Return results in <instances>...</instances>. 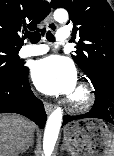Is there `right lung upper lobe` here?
<instances>
[{
  "label": "right lung upper lobe",
  "instance_id": "obj_1",
  "mask_svg": "<svg viewBox=\"0 0 114 156\" xmlns=\"http://www.w3.org/2000/svg\"><path fill=\"white\" fill-rule=\"evenodd\" d=\"M49 12L42 0H0V49L19 50L23 30H35Z\"/></svg>",
  "mask_w": 114,
  "mask_h": 156
}]
</instances>
